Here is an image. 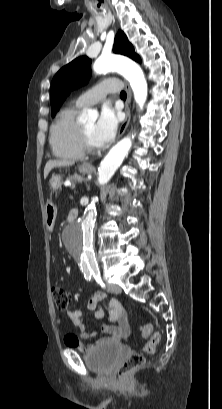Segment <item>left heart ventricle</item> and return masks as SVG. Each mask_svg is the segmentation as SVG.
Segmentation results:
<instances>
[{"instance_id": "b2bd125f", "label": "left heart ventricle", "mask_w": 222, "mask_h": 409, "mask_svg": "<svg viewBox=\"0 0 222 409\" xmlns=\"http://www.w3.org/2000/svg\"><path fill=\"white\" fill-rule=\"evenodd\" d=\"M82 125H83V127H84V129L86 131V134H87V137L89 139L90 144L92 146H94V147H97V145H96V143L94 141V137H93L94 129H95V125H96L95 122L94 121L87 122V123H84Z\"/></svg>"}]
</instances>
